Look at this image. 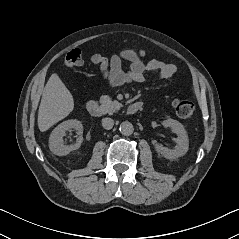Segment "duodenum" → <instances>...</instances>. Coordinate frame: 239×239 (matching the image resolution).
<instances>
[{"instance_id": "1", "label": "duodenum", "mask_w": 239, "mask_h": 239, "mask_svg": "<svg viewBox=\"0 0 239 239\" xmlns=\"http://www.w3.org/2000/svg\"><path fill=\"white\" fill-rule=\"evenodd\" d=\"M142 107H143L142 102H134L127 107V113L130 115L135 114V113L139 112ZM87 111L92 116H96V117H98L102 114V108L99 105V103L95 100H90L87 103Z\"/></svg>"}]
</instances>
